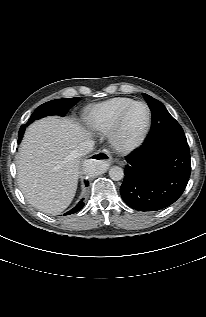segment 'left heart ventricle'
Listing matches in <instances>:
<instances>
[{"mask_svg":"<svg viewBox=\"0 0 206 317\" xmlns=\"http://www.w3.org/2000/svg\"><path fill=\"white\" fill-rule=\"evenodd\" d=\"M147 118V110L144 105H136L134 106L130 112L128 113L124 129L123 136L126 139H131L135 137L138 132L142 129L146 122Z\"/></svg>","mask_w":206,"mask_h":317,"instance_id":"left-heart-ventricle-1","label":"left heart ventricle"}]
</instances>
